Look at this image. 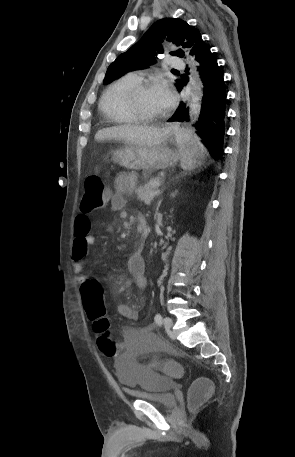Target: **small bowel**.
<instances>
[{"label": "small bowel", "mask_w": 295, "mask_h": 457, "mask_svg": "<svg viewBox=\"0 0 295 457\" xmlns=\"http://www.w3.org/2000/svg\"><path fill=\"white\" fill-rule=\"evenodd\" d=\"M136 181L131 174H120L115 180V192L109 196L110 208L113 211H121L126 203L125 195L132 192L135 188ZM142 217V216H141ZM75 240L73 244L72 258L73 271L78 283L83 286L90 280L84 273V258L89 248L94 244V237L91 233V222L86 214H78L74 222ZM126 265L133 276L136 285L140 289L147 287L145 277V263L140 251L129 255L126 259ZM117 312L120 316L137 320L138 312L128 304L120 303L117 305ZM141 342H159L154 335V325H148L142 328H131L125 332V339L119 345L125 349L126 345H140Z\"/></svg>", "instance_id": "1"}]
</instances>
